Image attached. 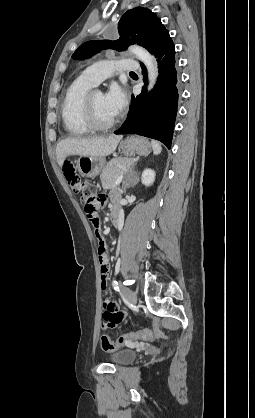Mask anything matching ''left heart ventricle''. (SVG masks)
<instances>
[{"label":"left heart ventricle","instance_id":"b2bd125f","mask_svg":"<svg viewBox=\"0 0 255 418\" xmlns=\"http://www.w3.org/2000/svg\"><path fill=\"white\" fill-rule=\"evenodd\" d=\"M93 107L97 120L100 123H108L114 119V116L108 111L105 102L104 94L97 91L93 95Z\"/></svg>","mask_w":255,"mask_h":418}]
</instances>
